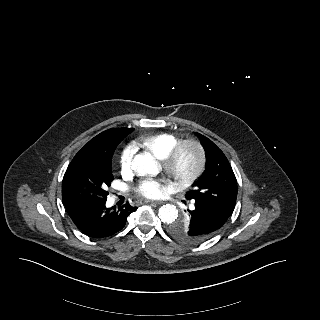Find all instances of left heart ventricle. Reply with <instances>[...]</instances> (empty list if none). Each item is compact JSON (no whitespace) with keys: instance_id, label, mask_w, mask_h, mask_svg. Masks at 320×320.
Wrapping results in <instances>:
<instances>
[{"instance_id":"1","label":"left heart ventricle","mask_w":320,"mask_h":320,"mask_svg":"<svg viewBox=\"0 0 320 320\" xmlns=\"http://www.w3.org/2000/svg\"><path fill=\"white\" fill-rule=\"evenodd\" d=\"M196 164V154L193 149L186 148L179 160L178 171L181 174H187L191 172Z\"/></svg>"}]
</instances>
